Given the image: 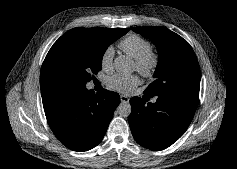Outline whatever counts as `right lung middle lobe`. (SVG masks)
I'll list each match as a JSON object with an SVG mask.
<instances>
[{"mask_svg": "<svg viewBox=\"0 0 237 169\" xmlns=\"http://www.w3.org/2000/svg\"><path fill=\"white\" fill-rule=\"evenodd\" d=\"M118 30L111 34L89 33L71 29L49 50L40 74L41 86H85L102 68V57L110 44L126 34Z\"/></svg>", "mask_w": 237, "mask_h": 169, "instance_id": "right-lung-middle-lobe-1", "label": "right lung middle lobe"}]
</instances>
